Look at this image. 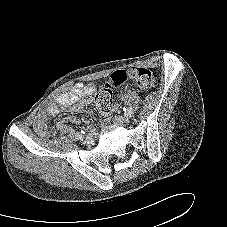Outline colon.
<instances>
[{"instance_id":"colon-1","label":"colon","mask_w":227,"mask_h":227,"mask_svg":"<svg viewBox=\"0 0 227 227\" xmlns=\"http://www.w3.org/2000/svg\"><path fill=\"white\" fill-rule=\"evenodd\" d=\"M133 80L141 89H149L155 85L153 73L143 67H130L113 72L105 87L102 88L95 96V104L101 112H108L112 105V91L126 82Z\"/></svg>"}]
</instances>
